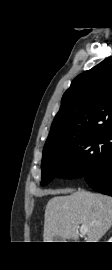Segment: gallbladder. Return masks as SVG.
<instances>
[{
	"mask_svg": "<svg viewBox=\"0 0 112 270\" xmlns=\"http://www.w3.org/2000/svg\"><path fill=\"white\" fill-rule=\"evenodd\" d=\"M53 241H55V242H61L62 241V238L59 237V236H56Z\"/></svg>",
	"mask_w": 112,
	"mask_h": 270,
	"instance_id": "obj_1",
	"label": "gallbladder"
}]
</instances>
